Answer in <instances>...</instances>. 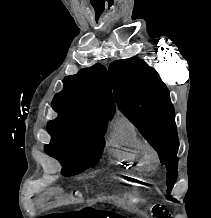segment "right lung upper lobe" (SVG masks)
Segmentation results:
<instances>
[{"mask_svg":"<svg viewBox=\"0 0 211 218\" xmlns=\"http://www.w3.org/2000/svg\"><path fill=\"white\" fill-rule=\"evenodd\" d=\"M64 90L55 95L52 108L61 120L75 123H99L107 126L115 113L111 85L106 68L97 63L64 78Z\"/></svg>","mask_w":211,"mask_h":218,"instance_id":"obj_1","label":"right lung upper lobe"}]
</instances>
